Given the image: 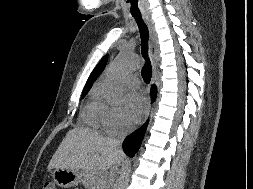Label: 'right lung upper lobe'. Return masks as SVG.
Returning a JSON list of instances; mask_svg holds the SVG:
<instances>
[{"mask_svg":"<svg viewBox=\"0 0 253 189\" xmlns=\"http://www.w3.org/2000/svg\"><path fill=\"white\" fill-rule=\"evenodd\" d=\"M108 60V55L104 56L99 64L95 67V69L92 71L91 75L89 76L87 83L84 87V90H90L95 80L98 78L100 73L104 70L106 63Z\"/></svg>","mask_w":253,"mask_h":189,"instance_id":"1","label":"right lung upper lobe"}]
</instances>
